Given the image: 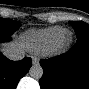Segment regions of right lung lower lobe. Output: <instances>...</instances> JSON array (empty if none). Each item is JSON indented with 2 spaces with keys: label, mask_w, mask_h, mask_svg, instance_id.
<instances>
[{
  "label": "right lung lower lobe",
  "mask_w": 89,
  "mask_h": 89,
  "mask_svg": "<svg viewBox=\"0 0 89 89\" xmlns=\"http://www.w3.org/2000/svg\"><path fill=\"white\" fill-rule=\"evenodd\" d=\"M8 39H10L9 35L0 37L1 41ZM31 66V58L25 57L20 61H12L0 53V88L15 89Z\"/></svg>",
  "instance_id": "98d812e1"
}]
</instances>
